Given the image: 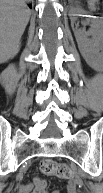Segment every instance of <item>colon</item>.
Masks as SVG:
<instances>
[{
	"label": "colon",
	"instance_id": "1",
	"mask_svg": "<svg viewBox=\"0 0 103 193\" xmlns=\"http://www.w3.org/2000/svg\"><path fill=\"white\" fill-rule=\"evenodd\" d=\"M40 169L43 174L48 176H56L62 180H70L73 178V170L64 163H58L53 159H45L42 161Z\"/></svg>",
	"mask_w": 103,
	"mask_h": 193
}]
</instances>
